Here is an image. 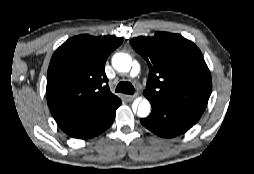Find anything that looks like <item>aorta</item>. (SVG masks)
Wrapping results in <instances>:
<instances>
[{
  "label": "aorta",
  "instance_id": "obj_1",
  "mask_svg": "<svg viewBox=\"0 0 254 174\" xmlns=\"http://www.w3.org/2000/svg\"><path fill=\"white\" fill-rule=\"evenodd\" d=\"M113 67L123 73H127L132 69V75H137L140 71V65L138 62L133 63L129 55L124 53H117L112 58ZM151 110V105L147 99L141 100L138 105L137 115L141 118H145L149 115Z\"/></svg>",
  "mask_w": 254,
  "mask_h": 174
}]
</instances>
